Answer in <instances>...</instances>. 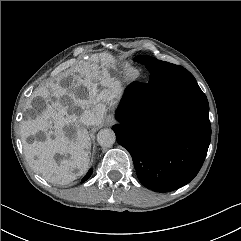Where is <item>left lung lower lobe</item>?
Instances as JSON below:
<instances>
[{
	"mask_svg": "<svg viewBox=\"0 0 241 241\" xmlns=\"http://www.w3.org/2000/svg\"><path fill=\"white\" fill-rule=\"evenodd\" d=\"M115 116L116 140L144 186L169 192L197 175L211 140L209 104L199 86L171 94L166 78L153 72L148 83L126 88Z\"/></svg>",
	"mask_w": 241,
	"mask_h": 241,
	"instance_id": "0a47b994",
	"label": "left lung lower lobe"
}]
</instances>
